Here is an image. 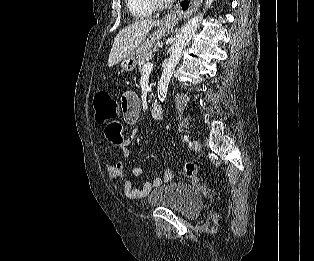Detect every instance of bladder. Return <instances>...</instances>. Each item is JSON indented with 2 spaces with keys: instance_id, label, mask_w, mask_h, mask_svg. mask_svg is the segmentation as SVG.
I'll list each match as a JSON object with an SVG mask.
<instances>
[{
  "instance_id": "1",
  "label": "bladder",
  "mask_w": 314,
  "mask_h": 261,
  "mask_svg": "<svg viewBox=\"0 0 314 261\" xmlns=\"http://www.w3.org/2000/svg\"><path fill=\"white\" fill-rule=\"evenodd\" d=\"M152 207L166 208L186 218H194L203 205L200 192L189 184L181 182L164 183L148 195Z\"/></svg>"
}]
</instances>
